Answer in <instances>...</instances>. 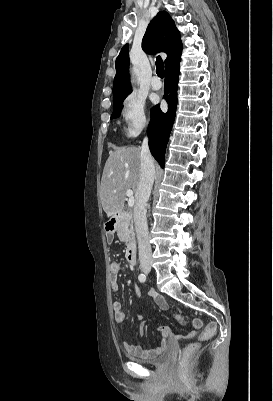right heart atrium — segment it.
Here are the masks:
<instances>
[{"label":"right heart atrium","mask_w":273,"mask_h":401,"mask_svg":"<svg viewBox=\"0 0 273 401\" xmlns=\"http://www.w3.org/2000/svg\"><path fill=\"white\" fill-rule=\"evenodd\" d=\"M122 117L125 122V135L135 138L148 126L145 103L136 95H129L123 103Z\"/></svg>","instance_id":"d8ad5b80"}]
</instances>
